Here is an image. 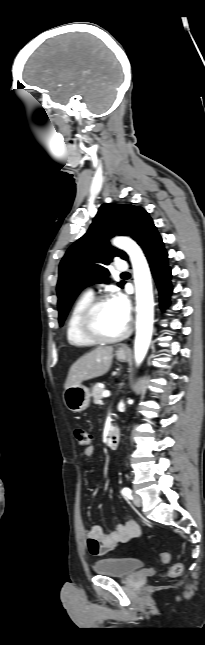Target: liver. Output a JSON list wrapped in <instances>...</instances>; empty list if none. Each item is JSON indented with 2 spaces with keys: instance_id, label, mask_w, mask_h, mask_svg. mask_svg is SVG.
I'll return each mask as SVG.
<instances>
[{
  "instance_id": "6515ba94",
  "label": "liver",
  "mask_w": 205,
  "mask_h": 645,
  "mask_svg": "<svg viewBox=\"0 0 205 645\" xmlns=\"http://www.w3.org/2000/svg\"><path fill=\"white\" fill-rule=\"evenodd\" d=\"M112 354V346H99L80 357L70 367L64 386L65 389L106 374L111 367Z\"/></svg>"
}]
</instances>
